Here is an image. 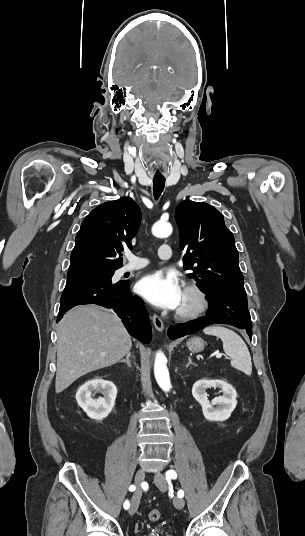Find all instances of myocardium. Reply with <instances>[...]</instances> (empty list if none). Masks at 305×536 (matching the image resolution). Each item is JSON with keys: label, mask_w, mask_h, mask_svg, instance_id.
<instances>
[{"label": "myocardium", "mask_w": 305, "mask_h": 536, "mask_svg": "<svg viewBox=\"0 0 305 536\" xmlns=\"http://www.w3.org/2000/svg\"><path fill=\"white\" fill-rule=\"evenodd\" d=\"M183 292L194 298V305L189 308H179L175 313L178 319H193L205 313L211 304L207 290L197 282H188L184 285Z\"/></svg>", "instance_id": "1"}]
</instances>
